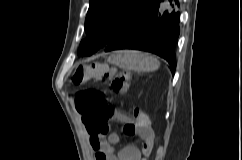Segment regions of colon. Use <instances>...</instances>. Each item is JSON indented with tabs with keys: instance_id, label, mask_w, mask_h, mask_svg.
<instances>
[{
	"instance_id": "obj_1",
	"label": "colon",
	"mask_w": 242,
	"mask_h": 160,
	"mask_svg": "<svg viewBox=\"0 0 242 160\" xmlns=\"http://www.w3.org/2000/svg\"><path fill=\"white\" fill-rule=\"evenodd\" d=\"M92 79L107 81L110 92L118 94L128 88L129 76L125 72H118L106 63L97 62L91 65H77L71 81L75 85H80ZM75 106L82 114L83 123L90 133L98 135L108 131L107 123L114 116L115 110L108 103L103 92L93 89L82 90L76 95ZM135 112L141 113L139 110ZM127 132L130 135L134 134L132 128Z\"/></svg>"
}]
</instances>
